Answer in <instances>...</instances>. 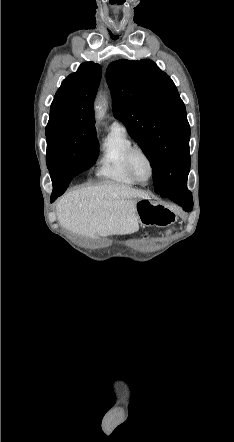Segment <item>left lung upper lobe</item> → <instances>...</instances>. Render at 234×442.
<instances>
[{
  "label": "left lung upper lobe",
  "mask_w": 234,
  "mask_h": 442,
  "mask_svg": "<svg viewBox=\"0 0 234 442\" xmlns=\"http://www.w3.org/2000/svg\"><path fill=\"white\" fill-rule=\"evenodd\" d=\"M106 79L115 118L151 163L155 192L164 197L179 190L190 170V126L173 81L147 59L114 61Z\"/></svg>",
  "instance_id": "5c2ea615"
}]
</instances>
